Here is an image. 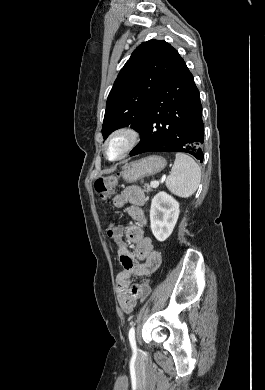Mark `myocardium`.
<instances>
[{"instance_id": "myocardium-1", "label": "myocardium", "mask_w": 265, "mask_h": 390, "mask_svg": "<svg viewBox=\"0 0 265 390\" xmlns=\"http://www.w3.org/2000/svg\"><path fill=\"white\" fill-rule=\"evenodd\" d=\"M121 139L123 147L115 157L109 155V148L113 141ZM140 134L131 126H120L115 128L106 138L103 146L104 155L107 160L117 162L124 159L139 143Z\"/></svg>"}]
</instances>
